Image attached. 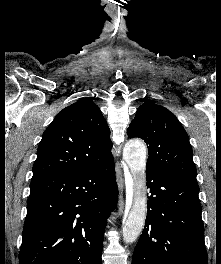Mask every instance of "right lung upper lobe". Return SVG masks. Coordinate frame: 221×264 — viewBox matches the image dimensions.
Listing matches in <instances>:
<instances>
[{
	"label": "right lung upper lobe",
	"instance_id": "cb5924a9",
	"mask_svg": "<svg viewBox=\"0 0 221 264\" xmlns=\"http://www.w3.org/2000/svg\"><path fill=\"white\" fill-rule=\"evenodd\" d=\"M110 129L88 98L64 108L45 130L37 149L32 180L88 169L112 157Z\"/></svg>",
	"mask_w": 221,
	"mask_h": 264
}]
</instances>
